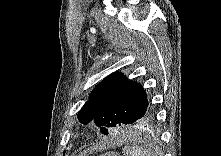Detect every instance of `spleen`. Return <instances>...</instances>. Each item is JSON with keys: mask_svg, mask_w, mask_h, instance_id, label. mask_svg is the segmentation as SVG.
I'll use <instances>...</instances> for the list:
<instances>
[{"mask_svg": "<svg viewBox=\"0 0 221 156\" xmlns=\"http://www.w3.org/2000/svg\"><path fill=\"white\" fill-rule=\"evenodd\" d=\"M123 153L125 156H154L151 151L140 146L126 147L123 149Z\"/></svg>", "mask_w": 221, "mask_h": 156, "instance_id": "obj_1", "label": "spleen"}]
</instances>
